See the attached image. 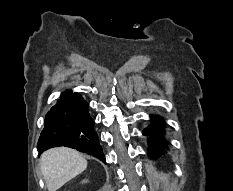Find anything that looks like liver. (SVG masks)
Here are the masks:
<instances>
[{"label":"liver","instance_id":"obj_1","mask_svg":"<svg viewBox=\"0 0 233 191\" xmlns=\"http://www.w3.org/2000/svg\"><path fill=\"white\" fill-rule=\"evenodd\" d=\"M40 168L48 191H57L87 168V160L74 149L57 147L41 155Z\"/></svg>","mask_w":233,"mask_h":191}]
</instances>
